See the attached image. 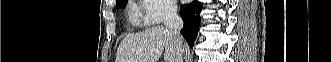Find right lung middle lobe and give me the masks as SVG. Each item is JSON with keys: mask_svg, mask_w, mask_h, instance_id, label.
Masks as SVG:
<instances>
[{"mask_svg": "<svg viewBox=\"0 0 331 62\" xmlns=\"http://www.w3.org/2000/svg\"><path fill=\"white\" fill-rule=\"evenodd\" d=\"M127 2L125 0L116 3V8H125L126 7Z\"/></svg>", "mask_w": 331, "mask_h": 62, "instance_id": "right-lung-middle-lobe-1", "label": "right lung middle lobe"}]
</instances>
